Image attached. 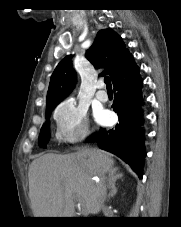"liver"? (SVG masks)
I'll use <instances>...</instances> for the list:
<instances>
[{
  "label": "liver",
  "instance_id": "1",
  "mask_svg": "<svg viewBox=\"0 0 181 227\" xmlns=\"http://www.w3.org/2000/svg\"><path fill=\"white\" fill-rule=\"evenodd\" d=\"M111 155L97 148H82L66 155L44 154L29 167V197L35 217H73L75 200L86 211H100L106 193V174L115 169ZM99 177V181L94 177Z\"/></svg>",
  "mask_w": 181,
  "mask_h": 227
}]
</instances>
